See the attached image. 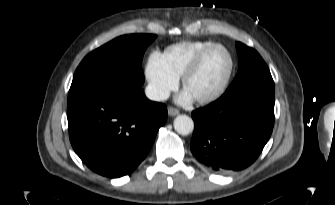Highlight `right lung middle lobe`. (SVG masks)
I'll list each match as a JSON object with an SVG mask.
<instances>
[{"instance_id": "dd1d6c3e", "label": "right lung middle lobe", "mask_w": 335, "mask_h": 205, "mask_svg": "<svg viewBox=\"0 0 335 205\" xmlns=\"http://www.w3.org/2000/svg\"><path fill=\"white\" fill-rule=\"evenodd\" d=\"M154 34H130L89 53L76 69L68 95L92 89L131 90L144 83L141 61Z\"/></svg>"}]
</instances>
